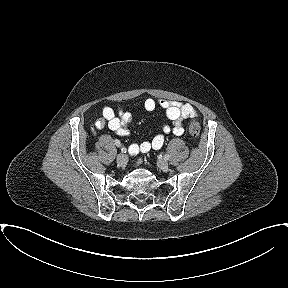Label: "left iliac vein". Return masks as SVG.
Returning a JSON list of instances; mask_svg holds the SVG:
<instances>
[{
    "instance_id": "1",
    "label": "left iliac vein",
    "mask_w": 288,
    "mask_h": 288,
    "mask_svg": "<svg viewBox=\"0 0 288 288\" xmlns=\"http://www.w3.org/2000/svg\"><path fill=\"white\" fill-rule=\"evenodd\" d=\"M168 166H169L168 161H166L165 159L164 160H160L158 162V167L160 169H162L163 171H166L168 169Z\"/></svg>"
}]
</instances>
